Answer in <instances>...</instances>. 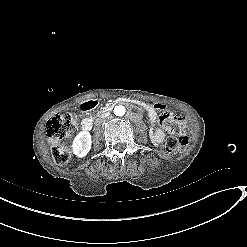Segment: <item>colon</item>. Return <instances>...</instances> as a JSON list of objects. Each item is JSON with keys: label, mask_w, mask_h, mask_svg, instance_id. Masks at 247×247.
<instances>
[{"label": "colon", "mask_w": 247, "mask_h": 247, "mask_svg": "<svg viewBox=\"0 0 247 247\" xmlns=\"http://www.w3.org/2000/svg\"><path fill=\"white\" fill-rule=\"evenodd\" d=\"M153 107L159 113H163L167 109L166 104L161 101L154 102ZM78 119L77 114L69 113L55 115L46 123L45 134L51 144L53 159L58 165H65L70 159V152L65 141L76 129ZM165 144L170 152H175L186 147L188 137L184 133L177 132L175 135L168 136Z\"/></svg>", "instance_id": "colon-1"}]
</instances>
